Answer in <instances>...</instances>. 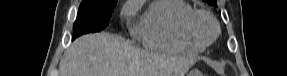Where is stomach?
Returning <instances> with one entry per match:
<instances>
[{
    "label": "stomach",
    "mask_w": 287,
    "mask_h": 76,
    "mask_svg": "<svg viewBox=\"0 0 287 76\" xmlns=\"http://www.w3.org/2000/svg\"><path fill=\"white\" fill-rule=\"evenodd\" d=\"M187 76H202L199 71L193 70Z\"/></svg>",
    "instance_id": "obj_1"
}]
</instances>
